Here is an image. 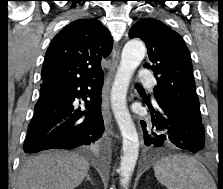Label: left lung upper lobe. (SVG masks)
Listing matches in <instances>:
<instances>
[{
    "label": "left lung upper lobe",
    "instance_id": "5c2ea615",
    "mask_svg": "<svg viewBox=\"0 0 223 189\" xmlns=\"http://www.w3.org/2000/svg\"><path fill=\"white\" fill-rule=\"evenodd\" d=\"M129 38L142 39L157 80L156 102L176 114L201 122V113L189 50L183 38L163 22L145 18L135 23Z\"/></svg>",
    "mask_w": 223,
    "mask_h": 189
}]
</instances>
